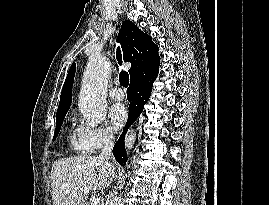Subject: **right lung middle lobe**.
I'll return each mask as SVG.
<instances>
[{"label":"right lung middle lobe","mask_w":269,"mask_h":205,"mask_svg":"<svg viewBox=\"0 0 269 205\" xmlns=\"http://www.w3.org/2000/svg\"><path fill=\"white\" fill-rule=\"evenodd\" d=\"M63 120H64V116L56 118V129H55V132H54L53 141L55 140V138L57 137V135H58V133L60 131L61 125L63 123Z\"/></svg>","instance_id":"dd1d6c3e"}]
</instances>
